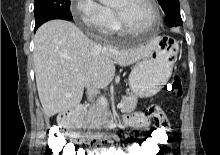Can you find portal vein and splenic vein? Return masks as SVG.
Segmentation results:
<instances>
[{
	"label": "portal vein and splenic vein",
	"instance_id": "18ae733b",
	"mask_svg": "<svg viewBox=\"0 0 220 155\" xmlns=\"http://www.w3.org/2000/svg\"><path fill=\"white\" fill-rule=\"evenodd\" d=\"M72 94L71 93H68L66 94L67 97H70ZM99 103L101 105H103L104 107L107 106V100L104 98V97H101L99 98ZM124 106V103L120 102L118 105H117V108H122Z\"/></svg>",
	"mask_w": 220,
	"mask_h": 155
}]
</instances>
